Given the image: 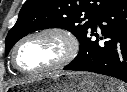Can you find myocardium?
Returning <instances> with one entry per match:
<instances>
[{
  "instance_id": "myocardium-1",
  "label": "myocardium",
  "mask_w": 127,
  "mask_h": 92,
  "mask_svg": "<svg viewBox=\"0 0 127 92\" xmlns=\"http://www.w3.org/2000/svg\"><path fill=\"white\" fill-rule=\"evenodd\" d=\"M42 35H54L59 38H61L66 45V51L64 55L61 57L60 60H58L55 64L50 65L48 67L36 69V70H25L20 67L18 64V51L22 44L26 42L27 40L42 36ZM79 50V43L76 38V36L68 29L64 27H58V26H49L44 27L41 29H37L35 31H32L25 36H23L15 45L13 52H12V64L13 66L20 72L24 74H40L45 72H51L55 70H59L70 64L75 57L77 56Z\"/></svg>"
}]
</instances>
